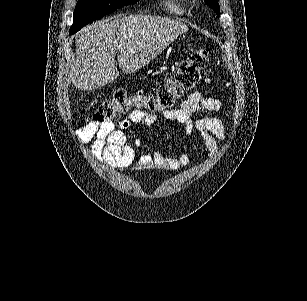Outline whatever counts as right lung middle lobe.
Instances as JSON below:
<instances>
[{
	"instance_id": "obj_1",
	"label": "right lung middle lobe",
	"mask_w": 307,
	"mask_h": 301,
	"mask_svg": "<svg viewBox=\"0 0 307 301\" xmlns=\"http://www.w3.org/2000/svg\"><path fill=\"white\" fill-rule=\"evenodd\" d=\"M138 0H78L74 13L70 35L79 31L89 22L101 19L118 8L137 2Z\"/></svg>"
}]
</instances>
